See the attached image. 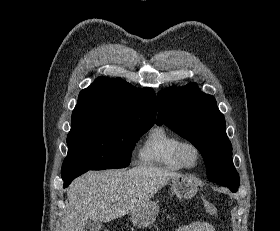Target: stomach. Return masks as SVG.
Listing matches in <instances>:
<instances>
[{"instance_id": "stomach-1", "label": "stomach", "mask_w": 280, "mask_h": 231, "mask_svg": "<svg viewBox=\"0 0 280 231\" xmlns=\"http://www.w3.org/2000/svg\"><path fill=\"white\" fill-rule=\"evenodd\" d=\"M169 185L172 193L179 199H190L194 197L198 191V181L192 175H179V177H171ZM159 211L157 201H146L145 205L139 209H133L131 213V221L137 227H149L154 223Z\"/></svg>"}]
</instances>
